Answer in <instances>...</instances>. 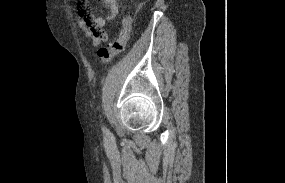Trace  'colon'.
<instances>
[{
    "label": "colon",
    "mask_w": 285,
    "mask_h": 183,
    "mask_svg": "<svg viewBox=\"0 0 285 183\" xmlns=\"http://www.w3.org/2000/svg\"><path fill=\"white\" fill-rule=\"evenodd\" d=\"M133 21L134 12L129 8L122 19V27L118 39L98 50L99 61L102 64L109 62L113 57L125 51L131 39Z\"/></svg>",
    "instance_id": "1"
}]
</instances>
